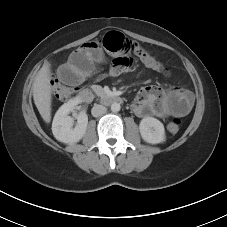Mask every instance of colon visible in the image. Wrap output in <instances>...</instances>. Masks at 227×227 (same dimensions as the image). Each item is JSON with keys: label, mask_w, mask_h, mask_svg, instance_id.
Returning a JSON list of instances; mask_svg holds the SVG:
<instances>
[{"label": "colon", "mask_w": 227, "mask_h": 227, "mask_svg": "<svg viewBox=\"0 0 227 227\" xmlns=\"http://www.w3.org/2000/svg\"><path fill=\"white\" fill-rule=\"evenodd\" d=\"M92 41L99 42L103 49L112 54L115 58L132 57V54H135L147 68L160 72H167L163 63L160 62L152 53L119 32H110L101 40ZM51 85L54 96L59 100L68 98L76 89L74 86L62 85L58 79L53 80ZM180 126L181 121L175 118L168 123V130L172 133H176L179 131Z\"/></svg>", "instance_id": "colon-1"}]
</instances>
